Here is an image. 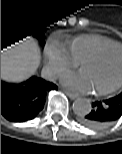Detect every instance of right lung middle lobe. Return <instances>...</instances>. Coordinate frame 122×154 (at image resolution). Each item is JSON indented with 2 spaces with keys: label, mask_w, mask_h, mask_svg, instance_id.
Wrapping results in <instances>:
<instances>
[{
  "label": "right lung middle lobe",
  "mask_w": 122,
  "mask_h": 154,
  "mask_svg": "<svg viewBox=\"0 0 122 154\" xmlns=\"http://www.w3.org/2000/svg\"><path fill=\"white\" fill-rule=\"evenodd\" d=\"M45 30H46V25L37 22L35 20L23 18L10 21L6 26H2L1 36L6 32L10 31L14 32L24 31L28 33L29 36L36 38L40 44H43Z\"/></svg>",
  "instance_id": "obj_1"
}]
</instances>
